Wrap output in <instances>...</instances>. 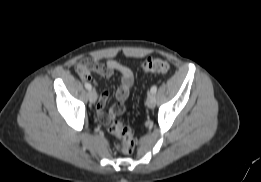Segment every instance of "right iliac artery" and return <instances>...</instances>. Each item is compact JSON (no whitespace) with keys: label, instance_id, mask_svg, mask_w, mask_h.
<instances>
[{"label":"right iliac artery","instance_id":"right-iliac-artery-1","mask_svg":"<svg viewBox=\"0 0 261 182\" xmlns=\"http://www.w3.org/2000/svg\"><path fill=\"white\" fill-rule=\"evenodd\" d=\"M85 88H86L87 90H91V89H92V86H91V84H89V83H85Z\"/></svg>","mask_w":261,"mask_h":182}]
</instances>
